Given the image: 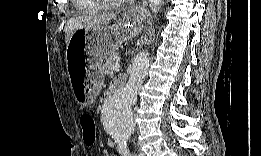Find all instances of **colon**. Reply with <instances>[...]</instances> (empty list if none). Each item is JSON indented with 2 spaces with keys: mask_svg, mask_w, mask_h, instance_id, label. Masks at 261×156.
Here are the masks:
<instances>
[{
  "mask_svg": "<svg viewBox=\"0 0 261 156\" xmlns=\"http://www.w3.org/2000/svg\"><path fill=\"white\" fill-rule=\"evenodd\" d=\"M79 120L84 142L87 145L95 144L97 137V126L94 117L90 113L85 112L80 115Z\"/></svg>",
  "mask_w": 261,
  "mask_h": 156,
  "instance_id": "1",
  "label": "colon"
}]
</instances>
